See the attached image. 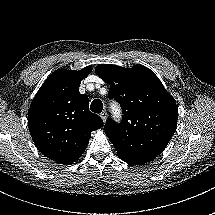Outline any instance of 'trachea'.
I'll use <instances>...</instances> for the list:
<instances>
[{
  "mask_svg": "<svg viewBox=\"0 0 215 215\" xmlns=\"http://www.w3.org/2000/svg\"><path fill=\"white\" fill-rule=\"evenodd\" d=\"M90 108L94 113H101L103 110V103L101 100L95 99L92 101Z\"/></svg>",
  "mask_w": 215,
  "mask_h": 215,
  "instance_id": "1",
  "label": "trachea"
}]
</instances>
